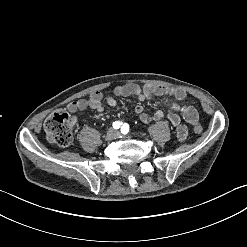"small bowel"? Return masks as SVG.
<instances>
[{
  "label": "small bowel",
  "mask_w": 247,
  "mask_h": 247,
  "mask_svg": "<svg viewBox=\"0 0 247 247\" xmlns=\"http://www.w3.org/2000/svg\"><path fill=\"white\" fill-rule=\"evenodd\" d=\"M130 96L136 97L139 101L148 100L153 96L158 97L161 104L169 110L167 120L176 128V136L180 142L186 139L187 129L185 126L180 125V116L178 112L185 115L186 123L189 126L196 127L199 124L198 113L194 108L187 104V94L185 91L157 85H146L144 87L135 83L118 85L114 88L113 95L103 97L102 92L95 91L88 99L72 101L67 104L66 108L71 113L86 109L102 112L104 110V105L108 107L116 106V97ZM134 110L143 123L158 121L164 117L163 112L160 110L155 111L153 114L146 113L144 107L140 104L136 105Z\"/></svg>",
  "instance_id": "small-bowel-1"
}]
</instances>
